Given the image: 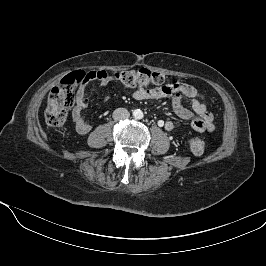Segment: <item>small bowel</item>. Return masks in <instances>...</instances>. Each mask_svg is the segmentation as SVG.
Listing matches in <instances>:
<instances>
[{
	"mask_svg": "<svg viewBox=\"0 0 266 266\" xmlns=\"http://www.w3.org/2000/svg\"><path fill=\"white\" fill-rule=\"evenodd\" d=\"M89 80H97L103 90V100L108 101L109 96L105 92L106 87L114 81L104 70H95L87 73ZM136 100H153L165 97L172 98V108L175 114L181 119L191 122L196 132H210L214 129L213 114L209 110L204 97L192 85L187 83L164 84L158 87L147 89L139 85L133 93ZM189 102L191 109L183 106V102ZM89 100L86 96V86L81 85L76 94V103L72 111V120L76 131L79 134H87L91 131L92 126L84 118L83 111L88 107ZM172 121H166L164 127L167 131L174 129Z\"/></svg>",
	"mask_w": 266,
	"mask_h": 266,
	"instance_id": "small-bowel-1",
	"label": "small bowel"
}]
</instances>
